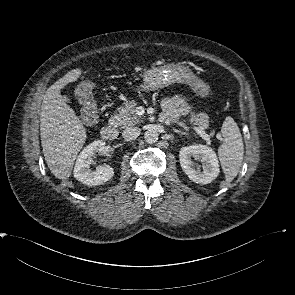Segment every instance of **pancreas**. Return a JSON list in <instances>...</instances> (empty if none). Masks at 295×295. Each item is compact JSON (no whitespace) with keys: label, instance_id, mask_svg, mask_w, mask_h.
Instances as JSON below:
<instances>
[{"label":"pancreas","instance_id":"obj_1","mask_svg":"<svg viewBox=\"0 0 295 295\" xmlns=\"http://www.w3.org/2000/svg\"><path fill=\"white\" fill-rule=\"evenodd\" d=\"M136 105L137 103L131 101L120 108L118 112L111 117L110 123L116 127L125 128L142 122L141 117L136 113ZM189 120L203 131L209 126V117L205 113H199L197 115L192 113Z\"/></svg>","mask_w":295,"mask_h":295}]
</instances>
